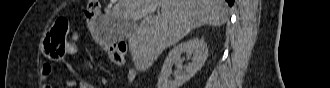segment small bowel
Instances as JSON below:
<instances>
[{"mask_svg": "<svg viewBox=\"0 0 330 88\" xmlns=\"http://www.w3.org/2000/svg\"><path fill=\"white\" fill-rule=\"evenodd\" d=\"M79 40V34L77 31H72L71 34L69 35L68 38V43H67V47H66V52L64 54V56L62 58H60L59 60H63L65 57L67 56H73L77 53L78 51V47H77V42ZM107 54L110 56H115L118 53H121V49L115 45H112L109 43V47L104 49ZM121 57H122V64L123 65V56L121 53ZM120 65V66H121ZM53 72V66L49 63H46L43 65L42 70H41V79L43 81H45ZM66 86L68 88H74L76 86V81L73 79H70L67 81ZM80 88H89L90 86L88 85V83L82 81L80 82L79 85Z\"/></svg>", "mask_w": 330, "mask_h": 88, "instance_id": "1", "label": "small bowel"}]
</instances>
